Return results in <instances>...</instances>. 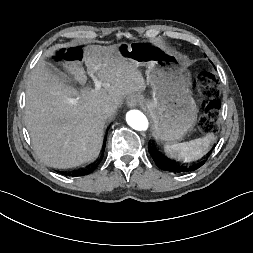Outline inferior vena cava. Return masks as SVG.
<instances>
[{"label": "inferior vena cava", "instance_id": "inferior-vena-cava-1", "mask_svg": "<svg viewBox=\"0 0 253 253\" xmlns=\"http://www.w3.org/2000/svg\"><path fill=\"white\" fill-rule=\"evenodd\" d=\"M117 110V106L114 104H106L103 108V113L107 117H111Z\"/></svg>", "mask_w": 253, "mask_h": 253}]
</instances>
